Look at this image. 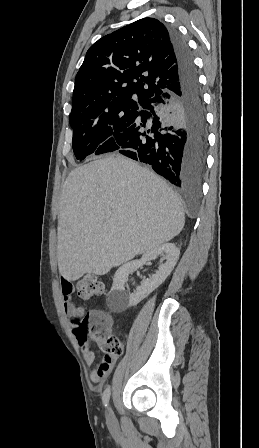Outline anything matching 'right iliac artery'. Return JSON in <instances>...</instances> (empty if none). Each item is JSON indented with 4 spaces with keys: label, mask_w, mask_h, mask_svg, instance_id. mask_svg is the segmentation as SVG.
<instances>
[{
    "label": "right iliac artery",
    "mask_w": 259,
    "mask_h": 448,
    "mask_svg": "<svg viewBox=\"0 0 259 448\" xmlns=\"http://www.w3.org/2000/svg\"><path fill=\"white\" fill-rule=\"evenodd\" d=\"M110 394H111V392H110V387H107V388L105 389V391H104V393H103V397H102L103 404H104L105 406H107V404H108V402H109Z\"/></svg>",
    "instance_id": "right-iliac-artery-1"
}]
</instances>
